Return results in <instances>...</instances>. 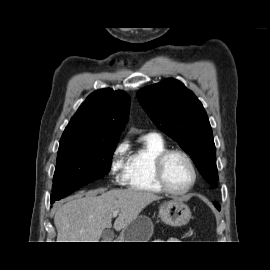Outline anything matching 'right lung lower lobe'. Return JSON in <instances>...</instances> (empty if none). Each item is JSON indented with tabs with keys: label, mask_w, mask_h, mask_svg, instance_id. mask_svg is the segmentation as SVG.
<instances>
[{
	"label": "right lung lower lobe",
	"mask_w": 270,
	"mask_h": 270,
	"mask_svg": "<svg viewBox=\"0 0 270 270\" xmlns=\"http://www.w3.org/2000/svg\"><path fill=\"white\" fill-rule=\"evenodd\" d=\"M55 201H51V204L54 203Z\"/></svg>",
	"instance_id": "1"
}]
</instances>
